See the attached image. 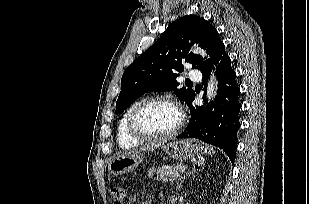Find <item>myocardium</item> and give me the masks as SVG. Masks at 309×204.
<instances>
[{
	"instance_id": "obj_1",
	"label": "myocardium",
	"mask_w": 309,
	"mask_h": 204,
	"mask_svg": "<svg viewBox=\"0 0 309 204\" xmlns=\"http://www.w3.org/2000/svg\"><path fill=\"white\" fill-rule=\"evenodd\" d=\"M154 104H165L171 106L175 108L179 114L178 123L172 130H170L167 133L160 135L150 134L144 131L139 125L138 118L140 113L148 106ZM184 121H185L184 113L180 108V106L175 101L166 97L149 98L142 100L133 108L128 119V131L134 138L140 141H161L175 136L183 127Z\"/></svg>"
}]
</instances>
